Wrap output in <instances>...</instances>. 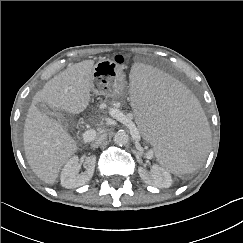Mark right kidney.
Here are the masks:
<instances>
[{
    "label": "right kidney",
    "instance_id": "right-kidney-1",
    "mask_svg": "<svg viewBox=\"0 0 243 243\" xmlns=\"http://www.w3.org/2000/svg\"><path fill=\"white\" fill-rule=\"evenodd\" d=\"M96 157L89 156L85 158V171L77 174L80 169L79 158L71 157L61 172V185L67 189L77 188L86 184L93 176L95 169Z\"/></svg>",
    "mask_w": 243,
    "mask_h": 243
}]
</instances>
